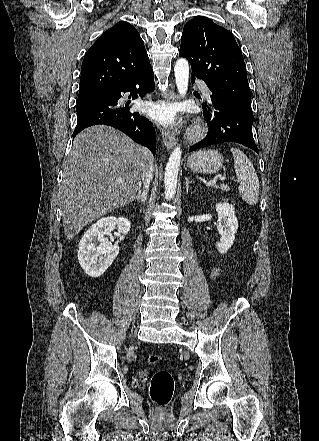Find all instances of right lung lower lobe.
<instances>
[{
    "label": "right lung lower lobe",
    "mask_w": 319,
    "mask_h": 441,
    "mask_svg": "<svg viewBox=\"0 0 319 441\" xmlns=\"http://www.w3.org/2000/svg\"><path fill=\"white\" fill-rule=\"evenodd\" d=\"M153 89L154 77L151 69L115 91L89 103L77 106L78 119L73 138L89 126L108 125L121 130L135 142L149 148L155 155L156 137L153 124L148 119L139 116L137 112L130 113L128 107L118 105L122 92H130L133 98H137V93L143 96L147 91H153Z\"/></svg>",
    "instance_id": "right-lung-lower-lobe-1"
}]
</instances>
